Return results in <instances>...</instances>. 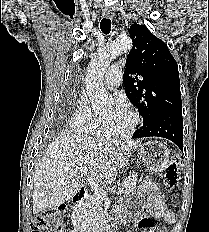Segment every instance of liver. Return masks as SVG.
Segmentation results:
<instances>
[{"label": "liver", "mask_w": 209, "mask_h": 232, "mask_svg": "<svg viewBox=\"0 0 209 232\" xmlns=\"http://www.w3.org/2000/svg\"><path fill=\"white\" fill-rule=\"evenodd\" d=\"M138 146L137 141L121 143L61 133L35 167L33 212L55 209L79 192L81 179L76 168L88 167L98 183H110Z\"/></svg>", "instance_id": "obj_1"}]
</instances>
